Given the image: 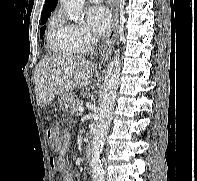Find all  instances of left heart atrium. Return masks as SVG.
Wrapping results in <instances>:
<instances>
[{"mask_svg": "<svg viewBox=\"0 0 197 181\" xmlns=\"http://www.w3.org/2000/svg\"><path fill=\"white\" fill-rule=\"evenodd\" d=\"M86 20L90 31L98 36H104L111 25V13L103 5L90 7L86 11Z\"/></svg>", "mask_w": 197, "mask_h": 181, "instance_id": "1", "label": "left heart atrium"}]
</instances>
